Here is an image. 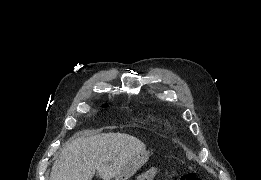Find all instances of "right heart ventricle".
Wrapping results in <instances>:
<instances>
[{
  "label": "right heart ventricle",
  "instance_id": "e07e8e85",
  "mask_svg": "<svg viewBox=\"0 0 261 180\" xmlns=\"http://www.w3.org/2000/svg\"><path fill=\"white\" fill-rule=\"evenodd\" d=\"M162 130L165 131V132H169V131H170V128H168L167 126H163V127H162Z\"/></svg>",
  "mask_w": 261,
  "mask_h": 180
}]
</instances>
